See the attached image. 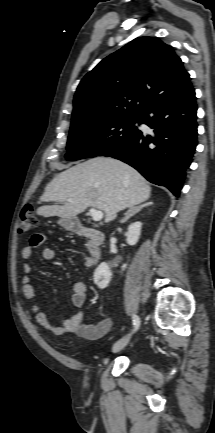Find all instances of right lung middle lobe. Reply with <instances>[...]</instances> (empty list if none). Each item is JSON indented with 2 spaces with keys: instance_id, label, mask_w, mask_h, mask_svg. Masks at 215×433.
Segmentation results:
<instances>
[{
  "instance_id": "dd1d6c3e",
  "label": "right lung middle lobe",
  "mask_w": 215,
  "mask_h": 433,
  "mask_svg": "<svg viewBox=\"0 0 215 433\" xmlns=\"http://www.w3.org/2000/svg\"><path fill=\"white\" fill-rule=\"evenodd\" d=\"M142 116H122L89 124L71 125L66 159L103 156L135 138Z\"/></svg>"
}]
</instances>
